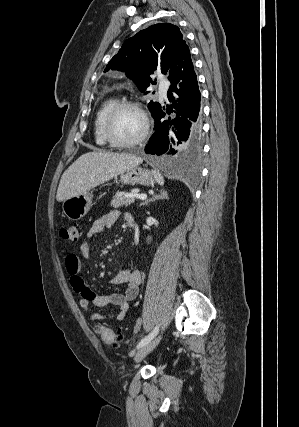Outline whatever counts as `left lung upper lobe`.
Here are the masks:
<instances>
[{
  "instance_id": "5c2ea615",
  "label": "left lung upper lobe",
  "mask_w": 299,
  "mask_h": 427,
  "mask_svg": "<svg viewBox=\"0 0 299 427\" xmlns=\"http://www.w3.org/2000/svg\"><path fill=\"white\" fill-rule=\"evenodd\" d=\"M182 41L183 35L176 25H152L126 40L104 72L110 69L126 72L139 90L147 94V88L154 84L150 76L156 70L168 74ZM157 105L158 102L151 101L148 108L153 112Z\"/></svg>"
}]
</instances>
